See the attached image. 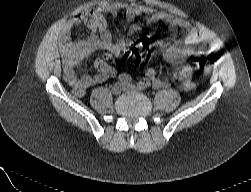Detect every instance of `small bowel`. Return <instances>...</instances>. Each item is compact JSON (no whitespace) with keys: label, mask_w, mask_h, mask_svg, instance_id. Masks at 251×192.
<instances>
[{"label":"small bowel","mask_w":251,"mask_h":192,"mask_svg":"<svg viewBox=\"0 0 251 192\" xmlns=\"http://www.w3.org/2000/svg\"><path fill=\"white\" fill-rule=\"evenodd\" d=\"M135 16L134 11L128 12L127 21L131 22ZM88 26L91 35L77 42L68 40V34L73 25L66 26L60 35L64 79L71 87L74 95L78 97H82L91 86L100 84L112 77L115 74V69L102 60L95 63L96 72L92 75L77 76L75 68L96 50L108 51L115 56H119L124 48L122 42L113 41L110 32L103 27L100 19H91ZM172 27L183 29L186 31V35L183 39L176 40L172 45L164 49V58L173 66V75L180 81L181 89L189 92L194 90L195 83L193 81L194 68L187 63V60L194 53L196 47L208 43V38L202 31L187 22H174ZM147 75L152 80L155 88L170 87V82L159 77L155 69H149Z\"/></svg>","instance_id":"obj_1"}]
</instances>
